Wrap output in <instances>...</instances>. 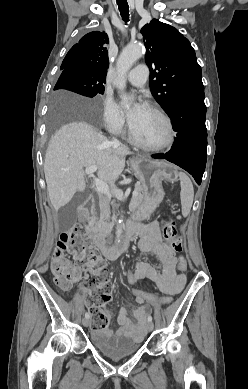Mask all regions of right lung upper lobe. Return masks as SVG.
<instances>
[{"mask_svg": "<svg viewBox=\"0 0 248 389\" xmlns=\"http://www.w3.org/2000/svg\"><path fill=\"white\" fill-rule=\"evenodd\" d=\"M106 33L94 31L82 37L65 56L60 69L75 68L105 78L109 67Z\"/></svg>", "mask_w": 248, "mask_h": 389, "instance_id": "cb5924a9", "label": "right lung upper lobe"}]
</instances>
